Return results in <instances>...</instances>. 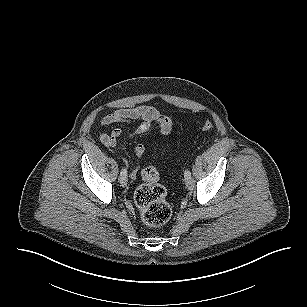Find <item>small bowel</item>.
<instances>
[{
    "label": "small bowel",
    "instance_id": "small-bowel-1",
    "mask_svg": "<svg viewBox=\"0 0 307 307\" xmlns=\"http://www.w3.org/2000/svg\"><path fill=\"white\" fill-rule=\"evenodd\" d=\"M138 121L139 124L130 133L131 137H135L149 132L153 126H156L162 135L167 136L171 133L173 121L169 116L160 113L156 108L149 105H141L135 108H124L115 110L103 117L101 124L109 126L115 123H125ZM122 135V130L114 128L110 132H105L100 135L101 143L106 147H114L117 140ZM146 152L144 144H138L134 153L137 158H140ZM128 166L127 160H124ZM138 174V168L130 171V177L135 179Z\"/></svg>",
    "mask_w": 307,
    "mask_h": 307
}]
</instances>
